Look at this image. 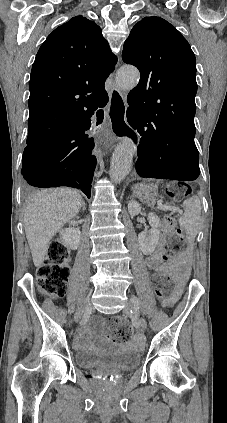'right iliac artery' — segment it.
<instances>
[{
  "label": "right iliac artery",
  "instance_id": "obj_1",
  "mask_svg": "<svg viewBox=\"0 0 227 423\" xmlns=\"http://www.w3.org/2000/svg\"><path fill=\"white\" fill-rule=\"evenodd\" d=\"M90 319H91L90 310H85V312L82 315V318L80 319V322L81 324L86 325Z\"/></svg>",
  "mask_w": 227,
  "mask_h": 423
}]
</instances>
